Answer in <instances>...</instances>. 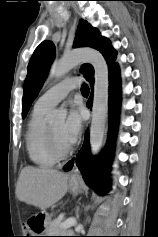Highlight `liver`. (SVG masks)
<instances>
[{"mask_svg": "<svg viewBox=\"0 0 158 237\" xmlns=\"http://www.w3.org/2000/svg\"><path fill=\"white\" fill-rule=\"evenodd\" d=\"M68 178L58 170L26 166L20 172L16 195L20 201L46 210L66 194Z\"/></svg>", "mask_w": 158, "mask_h": 237, "instance_id": "6515ba94", "label": "liver"}]
</instances>
